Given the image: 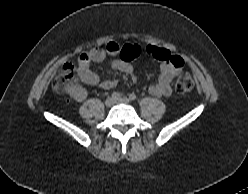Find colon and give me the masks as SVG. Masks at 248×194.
<instances>
[{
	"label": "colon",
	"instance_id": "obj_1",
	"mask_svg": "<svg viewBox=\"0 0 248 194\" xmlns=\"http://www.w3.org/2000/svg\"><path fill=\"white\" fill-rule=\"evenodd\" d=\"M77 71L71 63L64 64L53 82V88L58 93L70 92L76 87ZM194 87V80L188 73L181 74L175 83V89L180 94L190 92Z\"/></svg>",
	"mask_w": 248,
	"mask_h": 194
}]
</instances>
